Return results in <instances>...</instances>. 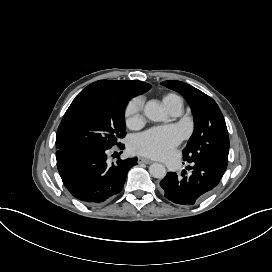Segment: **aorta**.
<instances>
[{
	"label": "aorta",
	"mask_w": 272,
	"mask_h": 272,
	"mask_svg": "<svg viewBox=\"0 0 272 272\" xmlns=\"http://www.w3.org/2000/svg\"><path fill=\"white\" fill-rule=\"evenodd\" d=\"M144 113L147 118L155 122L163 121L165 119V113L156 99L149 100L146 103ZM149 172L157 179H163L167 173L165 166L160 163L151 164L149 166Z\"/></svg>",
	"instance_id": "obj_1"
}]
</instances>
